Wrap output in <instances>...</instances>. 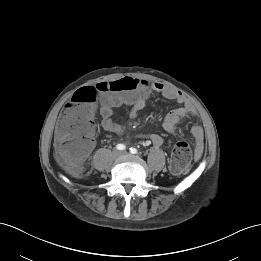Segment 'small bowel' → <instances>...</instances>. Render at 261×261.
Returning a JSON list of instances; mask_svg holds the SVG:
<instances>
[{"label":"small bowel","instance_id":"obj_1","mask_svg":"<svg viewBox=\"0 0 261 261\" xmlns=\"http://www.w3.org/2000/svg\"><path fill=\"white\" fill-rule=\"evenodd\" d=\"M160 93L165 98L174 100L181 104V107L176 108L169 112L164 120L163 127L170 133H175L177 124L185 118L193 117L196 115L195 108L187 100L184 94L170 86L163 85L161 83H152L147 88H140L132 97L119 96L117 98H109L105 100L100 107L101 114V126L102 128L113 134H121L123 132V126L116 121H114V108L127 105L130 107L129 117L130 119H136L140 111L145 107L150 96L154 93ZM76 109V105L70 100L64 107L62 114L60 116L57 130H56V141L61 144L67 137V134L62 130V123L65 116L72 110ZM95 121L93 118V113L91 114L88 123L87 130L88 135L91 139L90 148L85 157H87L94 147V142L92 137L95 133ZM191 137L195 146V158L199 159L203 153V141H204V131L201 125L194 124L191 128ZM147 139L154 145L159 146L162 144L163 139L158 134H150Z\"/></svg>","mask_w":261,"mask_h":261}]
</instances>
